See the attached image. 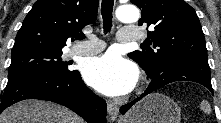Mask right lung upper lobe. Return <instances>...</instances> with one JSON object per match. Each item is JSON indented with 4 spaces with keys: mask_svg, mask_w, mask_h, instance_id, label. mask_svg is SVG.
I'll use <instances>...</instances> for the list:
<instances>
[{
    "mask_svg": "<svg viewBox=\"0 0 221 123\" xmlns=\"http://www.w3.org/2000/svg\"><path fill=\"white\" fill-rule=\"evenodd\" d=\"M99 0H38L23 21L12 52L59 51L67 40H81L82 28L97 18Z\"/></svg>",
    "mask_w": 221,
    "mask_h": 123,
    "instance_id": "obj_1",
    "label": "right lung upper lobe"
}]
</instances>
